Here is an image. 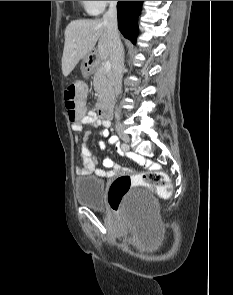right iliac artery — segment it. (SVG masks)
I'll return each instance as SVG.
<instances>
[{"label": "right iliac artery", "instance_id": "82829eb1", "mask_svg": "<svg viewBox=\"0 0 233 295\" xmlns=\"http://www.w3.org/2000/svg\"><path fill=\"white\" fill-rule=\"evenodd\" d=\"M121 147H122V150H126L127 146H126V144H123Z\"/></svg>", "mask_w": 233, "mask_h": 295}]
</instances>
